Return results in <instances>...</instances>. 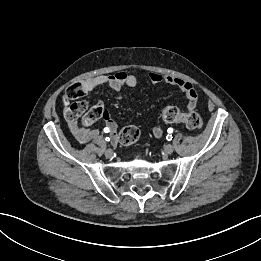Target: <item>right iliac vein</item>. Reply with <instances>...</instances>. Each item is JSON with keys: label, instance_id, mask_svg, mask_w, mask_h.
Returning a JSON list of instances; mask_svg holds the SVG:
<instances>
[{"label": "right iliac vein", "instance_id": "63e3f726", "mask_svg": "<svg viewBox=\"0 0 261 261\" xmlns=\"http://www.w3.org/2000/svg\"><path fill=\"white\" fill-rule=\"evenodd\" d=\"M105 156H106L107 158H112V156H113V151H112L111 149H107V150L105 151Z\"/></svg>", "mask_w": 261, "mask_h": 261}]
</instances>
